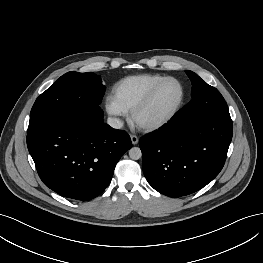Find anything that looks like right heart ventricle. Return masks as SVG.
I'll list each match as a JSON object with an SVG mask.
<instances>
[{
	"mask_svg": "<svg viewBox=\"0 0 263 263\" xmlns=\"http://www.w3.org/2000/svg\"><path fill=\"white\" fill-rule=\"evenodd\" d=\"M163 77L159 74H140L122 78L112 86L111 98L124 113L131 112Z\"/></svg>",
	"mask_w": 263,
	"mask_h": 263,
	"instance_id": "right-heart-ventricle-1",
	"label": "right heart ventricle"
}]
</instances>
